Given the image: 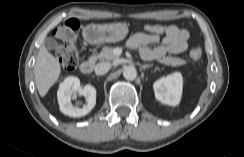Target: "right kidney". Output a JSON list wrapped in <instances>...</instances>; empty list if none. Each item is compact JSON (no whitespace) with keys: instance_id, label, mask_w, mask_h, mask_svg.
Returning a JSON list of instances; mask_svg holds the SVG:
<instances>
[{"instance_id":"1","label":"right kidney","mask_w":244,"mask_h":157,"mask_svg":"<svg viewBox=\"0 0 244 157\" xmlns=\"http://www.w3.org/2000/svg\"><path fill=\"white\" fill-rule=\"evenodd\" d=\"M77 94L83 95L86 99V104L82 108L74 106L72 99L76 98ZM58 103L60 111L70 117H82L87 115L96 104V89L88 84L83 88L80 86V80L77 77H67L59 86Z\"/></svg>"}]
</instances>
